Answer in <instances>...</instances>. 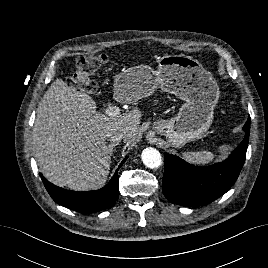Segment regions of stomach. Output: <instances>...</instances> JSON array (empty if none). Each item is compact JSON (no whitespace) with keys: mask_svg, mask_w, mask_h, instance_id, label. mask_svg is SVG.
Returning <instances> with one entry per match:
<instances>
[{"mask_svg":"<svg viewBox=\"0 0 268 268\" xmlns=\"http://www.w3.org/2000/svg\"><path fill=\"white\" fill-rule=\"evenodd\" d=\"M157 87L182 99L184 104L175 117L156 121L153 130L176 148L202 138L212 124L220 96L212 75L194 58L166 55L159 60L157 70L148 65L131 67L114 81L115 95L123 102L151 96Z\"/></svg>","mask_w":268,"mask_h":268,"instance_id":"0dacf381","label":"stomach"}]
</instances>
